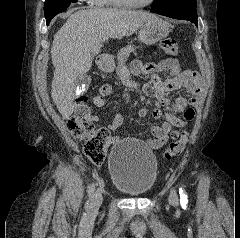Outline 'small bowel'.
<instances>
[{
    "label": "small bowel",
    "instance_id": "small-bowel-1",
    "mask_svg": "<svg viewBox=\"0 0 240 238\" xmlns=\"http://www.w3.org/2000/svg\"><path fill=\"white\" fill-rule=\"evenodd\" d=\"M132 71L135 74L143 72L151 76V84L145 88V91L151 94L157 102L166 108H171L173 111L182 113V118L176 115L163 112L157 108L153 111L154 118H165V121L156 126L149 124L150 130L155 136L154 139L147 140V144L150 148L158 150L161 149L170 137L178 134L177 131H173V127L182 128L187 125L195 116V105L197 103V97L201 90V80L199 74L195 70L181 71L179 63L175 59H167L157 64H149L142 66L139 61L132 63ZM170 72L168 78H161L159 73ZM184 89V92L180 94L174 101H171L166 97V93L178 89ZM112 86L104 84L99 88L98 93L93 97V104L96 107L104 106L106 98L111 94ZM140 117H146L148 110L141 108L139 110ZM89 123H96L99 121V116L90 114L87 117ZM123 124V118L120 114H116L113 120L107 126V143L109 145L119 141V136L113 134Z\"/></svg>",
    "mask_w": 240,
    "mask_h": 238
}]
</instances>
